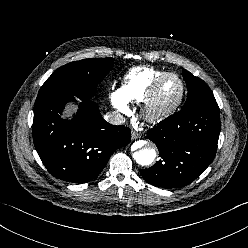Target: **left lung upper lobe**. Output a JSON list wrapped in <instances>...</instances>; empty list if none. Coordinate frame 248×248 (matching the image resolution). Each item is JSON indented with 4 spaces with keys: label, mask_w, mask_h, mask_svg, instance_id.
<instances>
[{
    "label": "left lung upper lobe",
    "mask_w": 248,
    "mask_h": 248,
    "mask_svg": "<svg viewBox=\"0 0 248 248\" xmlns=\"http://www.w3.org/2000/svg\"><path fill=\"white\" fill-rule=\"evenodd\" d=\"M183 77L188 87L187 100L182 109L197 106L204 102L215 100L211 90L200 78L192 75L189 71L183 69Z\"/></svg>",
    "instance_id": "5c2ea615"
}]
</instances>
